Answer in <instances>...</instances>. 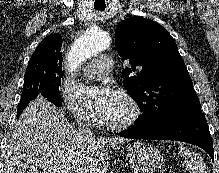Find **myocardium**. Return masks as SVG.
Segmentation results:
<instances>
[{
	"label": "myocardium",
	"instance_id": "1",
	"mask_svg": "<svg viewBox=\"0 0 219 173\" xmlns=\"http://www.w3.org/2000/svg\"><path fill=\"white\" fill-rule=\"evenodd\" d=\"M122 99L129 105L130 114L127 118L119 122H108L105 121L104 125L113 131H124L133 127L139 120L142 109L139 102L126 90L119 92Z\"/></svg>",
	"mask_w": 219,
	"mask_h": 173
}]
</instances>
